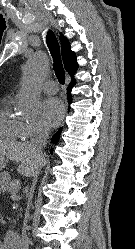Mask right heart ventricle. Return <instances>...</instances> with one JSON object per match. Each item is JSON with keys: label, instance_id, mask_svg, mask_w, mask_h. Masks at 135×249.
I'll list each match as a JSON object with an SVG mask.
<instances>
[{"label": "right heart ventricle", "instance_id": "obj_1", "mask_svg": "<svg viewBox=\"0 0 135 249\" xmlns=\"http://www.w3.org/2000/svg\"><path fill=\"white\" fill-rule=\"evenodd\" d=\"M12 106L8 98L0 107V139L13 142L24 137V123L16 117Z\"/></svg>", "mask_w": 135, "mask_h": 249}]
</instances>
